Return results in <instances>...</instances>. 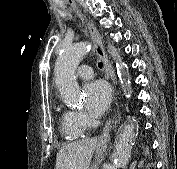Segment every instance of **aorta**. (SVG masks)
I'll list each match as a JSON object with an SVG mask.
<instances>
[{
	"label": "aorta",
	"instance_id": "obj_1",
	"mask_svg": "<svg viewBox=\"0 0 177 169\" xmlns=\"http://www.w3.org/2000/svg\"><path fill=\"white\" fill-rule=\"evenodd\" d=\"M90 44L81 42L64 46L55 63V84L61 99L68 105L78 106L81 104L82 95L77 83L75 72L83 57L90 51ZM109 53L116 59V68L119 75L124 74L126 64L112 46ZM130 86V82L126 83ZM136 138V123L128 120L120 130L115 144V163L120 169H124L129 162L131 150Z\"/></svg>",
	"mask_w": 177,
	"mask_h": 169
}]
</instances>
